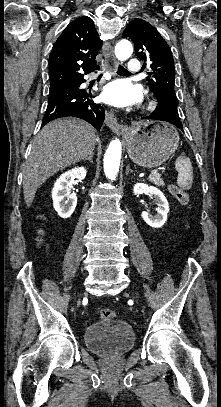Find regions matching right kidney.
I'll use <instances>...</instances> for the list:
<instances>
[{"label": "right kidney", "instance_id": "ca27d5eb", "mask_svg": "<svg viewBox=\"0 0 221 407\" xmlns=\"http://www.w3.org/2000/svg\"><path fill=\"white\" fill-rule=\"evenodd\" d=\"M87 171L84 167L73 168L63 173L55 182L52 189V200L55 211L61 218H68L77 205V197L71 193L74 179H85Z\"/></svg>", "mask_w": 221, "mask_h": 407}]
</instances>
